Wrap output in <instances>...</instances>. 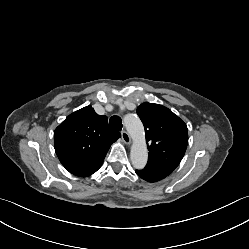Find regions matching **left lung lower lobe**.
Wrapping results in <instances>:
<instances>
[{"mask_svg": "<svg viewBox=\"0 0 249 249\" xmlns=\"http://www.w3.org/2000/svg\"><path fill=\"white\" fill-rule=\"evenodd\" d=\"M136 173L138 176H140L142 179L148 181V182H157L163 179V177L159 175L152 174L150 172L143 170H136Z\"/></svg>", "mask_w": 249, "mask_h": 249, "instance_id": "obj_1", "label": "left lung lower lobe"}]
</instances>
